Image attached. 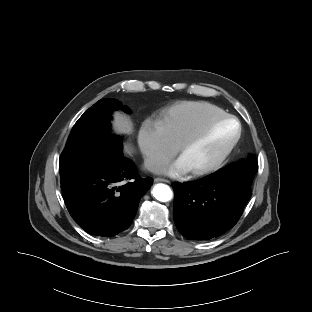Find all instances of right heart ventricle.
Returning a JSON list of instances; mask_svg holds the SVG:
<instances>
[{"label": "right heart ventricle", "instance_id": "e07e8e85", "mask_svg": "<svg viewBox=\"0 0 312 312\" xmlns=\"http://www.w3.org/2000/svg\"><path fill=\"white\" fill-rule=\"evenodd\" d=\"M227 114L222 108L207 102L187 101L168 108L161 116L167 134L179 144L209 120Z\"/></svg>", "mask_w": 312, "mask_h": 312}]
</instances>
